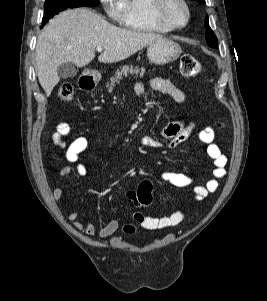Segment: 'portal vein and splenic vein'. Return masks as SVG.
<instances>
[{
    "label": "portal vein and splenic vein",
    "instance_id": "obj_1",
    "mask_svg": "<svg viewBox=\"0 0 267 301\" xmlns=\"http://www.w3.org/2000/svg\"><path fill=\"white\" fill-rule=\"evenodd\" d=\"M96 50H97L98 52H101V51H103V47H102V46H97V47H96Z\"/></svg>",
    "mask_w": 267,
    "mask_h": 301
}]
</instances>
